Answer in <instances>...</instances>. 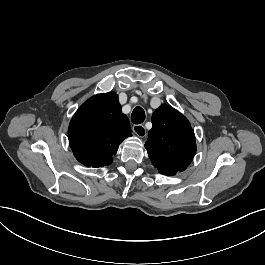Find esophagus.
Here are the masks:
<instances>
[{
    "mask_svg": "<svg viewBox=\"0 0 265 265\" xmlns=\"http://www.w3.org/2000/svg\"><path fill=\"white\" fill-rule=\"evenodd\" d=\"M132 129L134 133L140 138H143L147 135L146 128L142 124H134Z\"/></svg>",
    "mask_w": 265,
    "mask_h": 265,
    "instance_id": "34e87169",
    "label": "esophagus"
}]
</instances>
